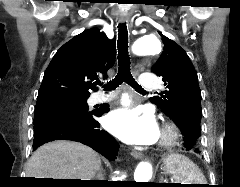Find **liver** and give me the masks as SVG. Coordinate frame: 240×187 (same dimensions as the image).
<instances>
[{"instance_id":"6515ba94","label":"liver","mask_w":240,"mask_h":187,"mask_svg":"<svg viewBox=\"0 0 240 187\" xmlns=\"http://www.w3.org/2000/svg\"><path fill=\"white\" fill-rule=\"evenodd\" d=\"M99 155L78 142L57 140L39 147L27 163V178L93 180L100 170Z\"/></svg>"}]
</instances>
